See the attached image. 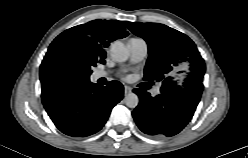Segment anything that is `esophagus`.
<instances>
[{"label":"esophagus","instance_id":"1","mask_svg":"<svg viewBox=\"0 0 248 158\" xmlns=\"http://www.w3.org/2000/svg\"><path fill=\"white\" fill-rule=\"evenodd\" d=\"M131 91H132V88L130 86H127V85L124 86V93H125V95L128 94V93H130Z\"/></svg>","mask_w":248,"mask_h":158}]
</instances>
